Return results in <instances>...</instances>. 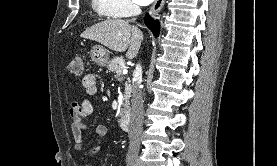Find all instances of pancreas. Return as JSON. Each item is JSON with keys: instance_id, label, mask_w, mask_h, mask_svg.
<instances>
[{"instance_id": "cf45deb5", "label": "pancreas", "mask_w": 277, "mask_h": 166, "mask_svg": "<svg viewBox=\"0 0 277 166\" xmlns=\"http://www.w3.org/2000/svg\"><path fill=\"white\" fill-rule=\"evenodd\" d=\"M126 68L125 60L123 57H114L112 61L108 64V69L112 71L115 75V78H120L122 76L123 69ZM129 93H130V84H127L126 96L124 97L125 103L121 109V115L127 116L130 112L129 106Z\"/></svg>"}]
</instances>
